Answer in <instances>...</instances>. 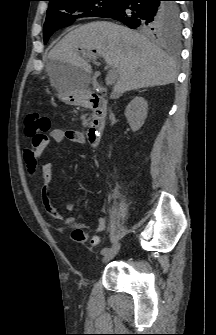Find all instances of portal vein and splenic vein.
<instances>
[{
  "label": "portal vein and splenic vein",
  "mask_w": 216,
  "mask_h": 335,
  "mask_svg": "<svg viewBox=\"0 0 216 335\" xmlns=\"http://www.w3.org/2000/svg\"><path fill=\"white\" fill-rule=\"evenodd\" d=\"M87 58H96V55L94 53H87L85 54ZM106 69L108 70V74L106 77V85L111 86L117 81V74L114 72L113 69H111L110 65L106 66Z\"/></svg>",
  "instance_id": "18ae733b"
}]
</instances>
